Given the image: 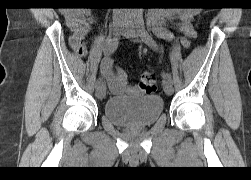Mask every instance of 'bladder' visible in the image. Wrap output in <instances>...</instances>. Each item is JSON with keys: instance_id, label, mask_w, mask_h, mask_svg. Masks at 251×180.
Wrapping results in <instances>:
<instances>
[{"instance_id": "obj_1", "label": "bladder", "mask_w": 251, "mask_h": 180, "mask_svg": "<svg viewBox=\"0 0 251 180\" xmlns=\"http://www.w3.org/2000/svg\"><path fill=\"white\" fill-rule=\"evenodd\" d=\"M164 109L163 99L155 94L111 96L104 105V116L115 125L144 127L154 124Z\"/></svg>"}]
</instances>
